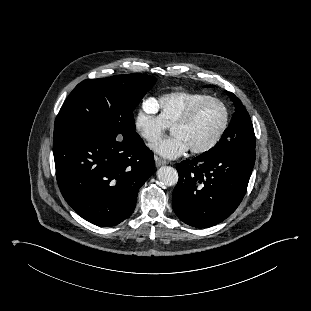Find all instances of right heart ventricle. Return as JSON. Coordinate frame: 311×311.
<instances>
[{
    "instance_id": "e07e8e85",
    "label": "right heart ventricle",
    "mask_w": 311,
    "mask_h": 311,
    "mask_svg": "<svg viewBox=\"0 0 311 311\" xmlns=\"http://www.w3.org/2000/svg\"><path fill=\"white\" fill-rule=\"evenodd\" d=\"M208 97L206 94L176 91L155 100L159 116L167 127H171L193 104Z\"/></svg>"
}]
</instances>
